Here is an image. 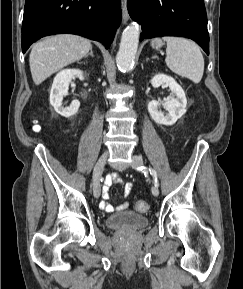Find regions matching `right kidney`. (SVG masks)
<instances>
[{
    "mask_svg": "<svg viewBox=\"0 0 243 289\" xmlns=\"http://www.w3.org/2000/svg\"><path fill=\"white\" fill-rule=\"evenodd\" d=\"M74 77L84 80L83 71L79 69H64L60 71L54 78L50 92V104L58 114L66 118L75 115L80 107L78 100H73L67 107L62 106L63 96L68 94V85Z\"/></svg>",
    "mask_w": 243,
    "mask_h": 289,
    "instance_id": "obj_1",
    "label": "right kidney"
}]
</instances>
